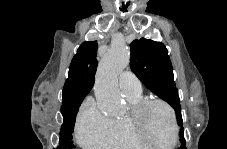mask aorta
<instances>
[{"label":"aorta","mask_w":227,"mask_h":149,"mask_svg":"<svg viewBox=\"0 0 227 149\" xmlns=\"http://www.w3.org/2000/svg\"><path fill=\"white\" fill-rule=\"evenodd\" d=\"M130 52L124 43H115L102 58L94 86L98 108L108 115L119 113L122 98L118 89V77L128 66Z\"/></svg>","instance_id":"obj_1"}]
</instances>
